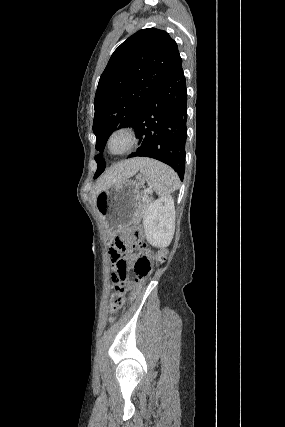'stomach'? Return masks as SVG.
Returning <instances> with one entry per match:
<instances>
[{"mask_svg":"<svg viewBox=\"0 0 285 427\" xmlns=\"http://www.w3.org/2000/svg\"><path fill=\"white\" fill-rule=\"evenodd\" d=\"M142 175L136 180H122L97 195L95 205L106 232L116 234L122 227L132 224L138 216Z\"/></svg>","mask_w":285,"mask_h":427,"instance_id":"stomach-1","label":"stomach"}]
</instances>
